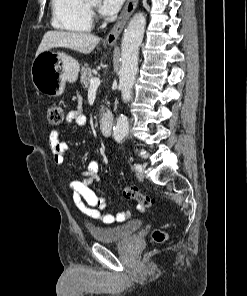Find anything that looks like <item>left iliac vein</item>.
Wrapping results in <instances>:
<instances>
[{
  "instance_id": "obj_1",
  "label": "left iliac vein",
  "mask_w": 247,
  "mask_h": 296,
  "mask_svg": "<svg viewBox=\"0 0 247 296\" xmlns=\"http://www.w3.org/2000/svg\"><path fill=\"white\" fill-rule=\"evenodd\" d=\"M136 176H137L138 180L143 181V179H144V168L143 167L140 171L137 172Z\"/></svg>"
}]
</instances>
